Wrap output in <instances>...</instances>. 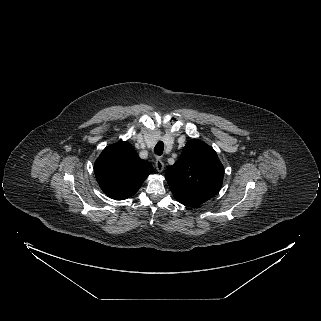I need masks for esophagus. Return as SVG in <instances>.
Here are the masks:
<instances>
[{"label":"esophagus","mask_w":321,"mask_h":321,"mask_svg":"<svg viewBox=\"0 0 321 321\" xmlns=\"http://www.w3.org/2000/svg\"><path fill=\"white\" fill-rule=\"evenodd\" d=\"M155 167L158 172H162L164 170V163L161 159H156Z\"/></svg>","instance_id":"34e87169"}]
</instances>
